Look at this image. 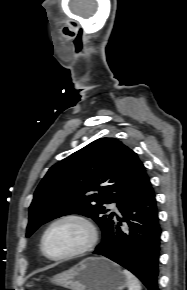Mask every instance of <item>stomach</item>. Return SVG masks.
I'll return each instance as SVG.
<instances>
[{"mask_svg":"<svg viewBox=\"0 0 187 290\" xmlns=\"http://www.w3.org/2000/svg\"><path fill=\"white\" fill-rule=\"evenodd\" d=\"M50 281L69 290H123L128 284L119 265L105 257H88Z\"/></svg>","mask_w":187,"mask_h":290,"instance_id":"obj_1","label":"stomach"}]
</instances>
